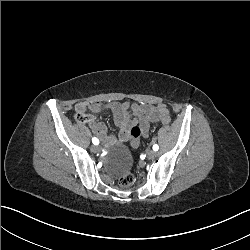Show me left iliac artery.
I'll list each match as a JSON object with an SVG mask.
<instances>
[{"mask_svg": "<svg viewBox=\"0 0 250 250\" xmlns=\"http://www.w3.org/2000/svg\"><path fill=\"white\" fill-rule=\"evenodd\" d=\"M158 149H159V146L157 144L153 145V150L154 151H158Z\"/></svg>", "mask_w": 250, "mask_h": 250, "instance_id": "1", "label": "left iliac artery"}]
</instances>
